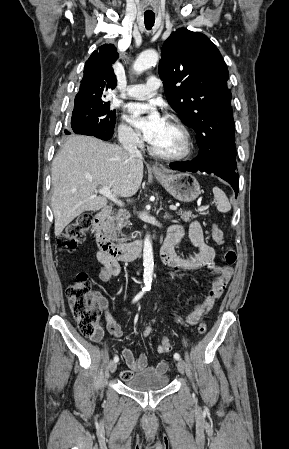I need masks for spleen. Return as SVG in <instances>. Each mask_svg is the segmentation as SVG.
Returning a JSON list of instances; mask_svg holds the SVG:
<instances>
[{"instance_id": "3e777b00", "label": "spleen", "mask_w": 289, "mask_h": 449, "mask_svg": "<svg viewBox=\"0 0 289 449\" xmlns=\"http://www.w3.org/2000/svg\"><path fill=\"white\" fill-rule=\"evenodd\" d=\"M213 194L217 201V209L222 213L230 211L231 205L225 193L220 188L214 187Z\"/></svg>"}]
</instances>
